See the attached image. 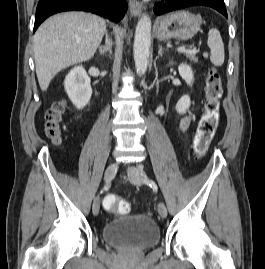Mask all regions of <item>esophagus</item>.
<instances>
[{"label":"esophagus","instance_id":"1","mask_svg":"<svg viewBox=\"0 0 265 269\" xmlns=\"http://www.w3.org/2000/svg\"><path fill=\"white\" fill-rule=\"evenodd\" d=\"M129 8L133 16H139L143 10V4L138 0H130Z\"/></svg>","mask_w":265,"mask_h":269}]
</instances>
